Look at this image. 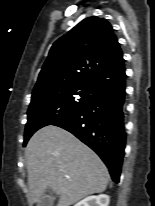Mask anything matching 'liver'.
<instances>
[{
  "mask_svg": "<svg viewBox=\"0 0 155 206\" xmlns=\"http://www.w3.org/2000/svg\"><path fill=\"white\" fill-rule=\"evenodd\" d=\"M25 156L31 203L47 188L59 195L57 206H70L84 197L104 192L109 173L101 159L68 131L53 126L38 130Z\"/></svg>",
  "mask_w": 155,
  "mask_h": 206,
  "instance_id": "liver-1",
  "label": "liver"
}]
</instances>
